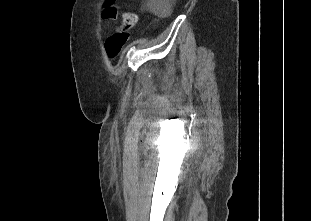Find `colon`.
Segmentation results:
<instances>
[{"instance_id": "5ec220e1", "label": "colon", "mask_w": 311, "mask_h": 221, "mask_svg": "<svg viewBox=\"0 0 311 221\" xmlns=\"http://www.w3.org/2000/svg\"><path fill=\"white\" fill-rule=\"evenodd\" d=\"M106 4L100 11V16L105 20H114L118 13V0H105ZM136 15L134 13H124L121 24H135ZM128 34H116L108 36L105 41V53L109 59L117 57L128 40Z\"/></svg>"}]
</instances>
